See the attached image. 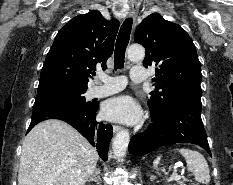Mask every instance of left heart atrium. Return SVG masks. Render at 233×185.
I'll use <instances>...</instances> for the list:
<instances>
[{"instance_id":"obj_1","label":"left heart atrium","mask_w":233,"mask_h":185,"mask_svg":"<svg viewBox=\"0 0 233 185\" xmlns=\"http://www.w3.org/2000/svg\"><path fill=\"white\" fill-rule=\"evenodd\" d=\"M104 114L107 119L135 124L141 118L142 111L138 103L129 95H120L108 100L104 106Z\"/></svg>"}]
</instances>
